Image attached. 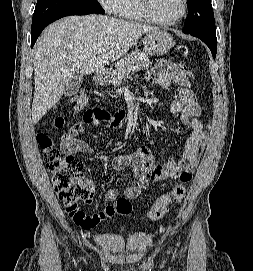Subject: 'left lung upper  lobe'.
I'll return each instance as SVG.
<instances>
[{
    "mask_svg": "<svg viewBox=\"0 0 253 271\" xmlns=\"http://www.w3.org/2000/svg\"><path fill=\"white\" fill-rule=\"evenodd\" d=\"M188 15L184 23L185 32H216L211 0H187Z\"/></svg>",
    "mask_w": 253,
    "mask_h": 271,
    "instance_id": "left-lung-upper-lobe-1",
    "label": "left lung upper lobe"
}]
</instances>
